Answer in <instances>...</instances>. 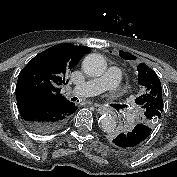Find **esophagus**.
<instances>
[{
	"label": "esophagus",
	"instance_id": "obj_1",
	"mask_svg": "<svg viewBox=\"0 0 177 177\" xmlns=\"http://www.w3.org/2000/svg\"><path fill=\"white\" fill-rule=\"evenodd\" d=\"M95 107L97 108V110L99 112H107V111H109V109L106 106H104V105H96Z\"/></svg>",
	"mask_w": 177,
	"mask_h": 177
}]
</instances>
